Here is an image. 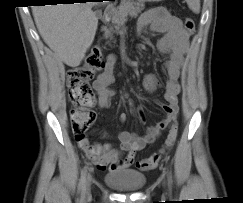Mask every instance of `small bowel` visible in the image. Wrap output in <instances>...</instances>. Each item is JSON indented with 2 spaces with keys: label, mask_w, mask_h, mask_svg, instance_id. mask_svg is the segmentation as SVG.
I'll list each match as a JSON object with an SVG mask.
<instances>
[{
  "label": "small bowel",
  "mask_w": 243,
  "mask_h": 203,
  "mask_svg": "<svg viewBox=\"0 0 243 203\" xmlns=\"http://www.w3.org/2000/svg\"><path fill=\"white\" fill-rule=\"evenodd\" d=\"M149 26L154 32L163 34V37L157 44V48L162 54L169 56L164 64L167 76L164 90L165 103H159L165 112V117L157 124L149 126L143 135L129 131H120L118 134L120 141L119 148H115L108 143L92 145L88 139L80 141L78 143L80 149L92 160L99 170L108 168L110 171H114L131 165L134 162L136 153L153 142L160 132L177 118L179 111L177 96L180 91L178 79L185 57L189 51V39L180 19L171 15L162 7H153L140 16L136 26L137 34H142ZM116 61V55L109 54L104 70L94 81V88L98 95V107L100 109H108L111 105L112 97L116 94V91L110 88L113 82ZM143 82L145 88L149 91L155 90L158 85L156 77L151 74L145 75ZM123 97L127 100L133 113L137 114L141 120H144L142 109L135 107L126 93H123ZM119 120L122 123L126 122L127 115L121 113ZM122 153H126L124 158H122Z\"/></svg>",
  "instance_id": "1"
}]
</instances>
